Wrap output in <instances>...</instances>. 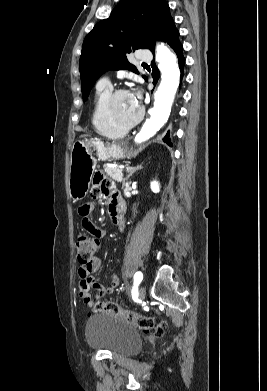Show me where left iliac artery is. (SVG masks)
Here are the masks:
<instances>
[{
    "instance_id": "44dca946",
    "label": "left iliac artery",
    "mask_w": 267,
    "mask_h": 391,
    "mask_svg": "<svg viewBox=\"0 0 267 391\" xmlns=\"http://www.w3.org/2000/svg\"><path fill=\"white\" fill-rule=\"evenodd\" d=\"M143 279V274L141 272H136L134 275V288L133 291L137 290V287Z\"/></svg>"
}]
</instances>
